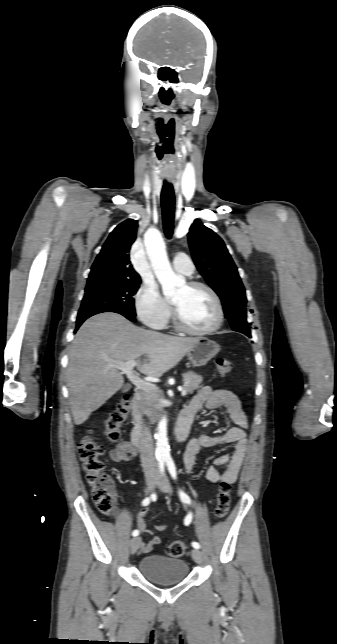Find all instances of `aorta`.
<instances>
[{
	"label": "aorta",
	"instance_id": "obj_1",
	"mask_svg": "<svg viewBox=\"0 0 337 644\" xmlns=\"http://www.w3.org/2000/svg\"><path fill=\"white\" fill-rule=\"evenodd\" d=\"M145 247L153 271L162 286L163 294L165 296L174 295L178 288L185 285V279L173 272L159 231L153 229L146 233ZM155 438L157 455L164 459L170 458L166 417L160 420Z\"/></svg>",
	"mask_w": 337,
	"mask_h": 644
}]
</instances>
